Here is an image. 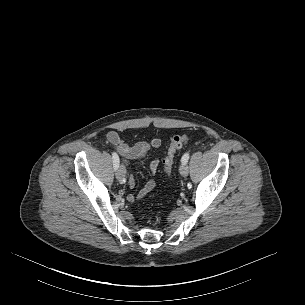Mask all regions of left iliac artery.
<instances>
[{
  "mask_svg": "<svg viewBox=\"0 0 305 305\" xmlns=\"http://www.w3.org/2000/svg\"><path fill=\"white\" fill-rule=\"evenodd\" d=\"M189 160V153H185L183 156H182V159H181V162L182 163H187Z\"/></svg>",
  "mask_w": 305,
  "mask_h": 305,
  "instance_id": "1",
  "label": "left iliac artery"
}]
</instances>
